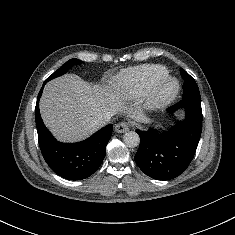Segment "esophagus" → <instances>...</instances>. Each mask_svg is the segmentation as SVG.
<instances>
[{
    "label": "esophagus",
    "instance_id": "1",
    "mask_svg": "<svg viewBox=\"0 0 235 235\" xmlns=\"http://www.w3.org/2000/svg\"><path fill=\"white\" fill-rule=\"evenodd\" d=\"M130 126L127 122L123 121V122H120L118 123L116 126H115V131L117 133H124V132H127L129 130Z\"/></svg>",
    "mask_w": 235,
    "mask_h": 235
}]
</instances>
